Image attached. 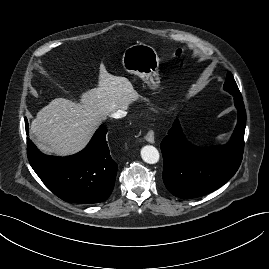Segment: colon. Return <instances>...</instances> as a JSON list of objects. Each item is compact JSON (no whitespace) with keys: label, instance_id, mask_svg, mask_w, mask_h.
Masks as SVG:
<instances>
[{"label":"colon","instance_id":"1","mask_svg":"<svg viewBox=\"0 0 269 269\" xmlns=\"http://www.w3.org/2000/svg\"><path fill=\"white\" fill-rule=\"evenodd\" d=\"M184 50L183 49H177L176 51H175V55L176 56H178V57H181V56H183L184 55Z\"/></svg>","mask_w":269,"mask_h":269}]
</instances>
